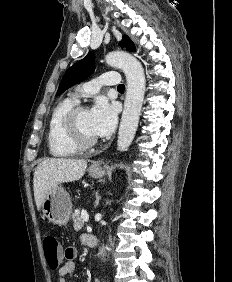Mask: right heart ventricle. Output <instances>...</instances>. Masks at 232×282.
Instances as JSON below:
<instances>
[{"label": "right heart ventricle", "instance_id": "right-heart-ventricle-1", "mask_svg": "<svg viewBox=\"0 0 232 282\" xmlns=\"http://www.w3.org/2000/svg\"><path fill=\"white\" fill-rule=\"evenodd\" d=\"M76 105V100L66 97L53 108L47 131V145L54 157H69L75 155L79 148L73 145L64 132L63 121L66 113Z\"/></svg>", "mask_w": 232, "mask_h": 282}]
</instances>
